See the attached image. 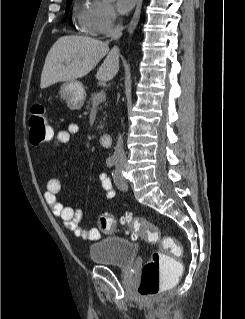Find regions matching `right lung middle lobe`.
<instances>
[{"instance_id": "1", "label": "right lung middle lobe", "mask_w": 245, "mask_h": 319, "mask_svg": "<svg viewBox=\"0 0 245 319\" xmlns=\"http://www.w3.org/2000/svg\"><path fill=\"white\" fill-rule=\"evenodd\" d=\"M71 1H72V0H68V1H67V7L70 5Z\"/></svg>"}]
</instances>
